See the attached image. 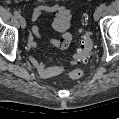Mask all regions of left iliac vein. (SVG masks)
<instances>
[{
  "label": "left iliac vein",
  "instance_id": "1",
  "mask_svg": "<svg viewBox=\"0 0 119 119\" xmlns=\"http://www.w3.org/2000/svg\"><path fill=\"white\" fill-rule=\"evenodd\" d=\"M102 14V9L98 7L94 12V19L99 20Z\"/></svg>",
  "mask_w": 119,
  "mask_h": 119
}]
</instances>
